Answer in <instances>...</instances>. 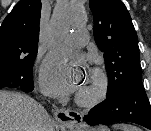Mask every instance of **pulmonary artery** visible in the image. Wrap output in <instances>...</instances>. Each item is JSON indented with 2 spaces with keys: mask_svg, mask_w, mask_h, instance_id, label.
Returning <instances> with one entry per match:
<instances>
[{
  "mask_svg": "<svg viewBox=\"0 0 151 131\" xmlns=\"http://www.w3.org/2000/svg\"><path fill=\"white\" fill-rule=\"evenodd\" d=\"M89 35L86 30L78 29L75 32L67 35L60 42L64 47H81L88 43Z\"/></svg>",
  "mask_w": 151,
  "mask_h": 131,
  "instance_id": "pulmonary-artery-1",
  "label": "pulmonary artery"
}]
</instances>
